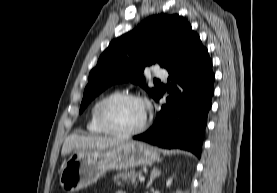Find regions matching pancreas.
<instances>
[{
	"label": "pancreas",
	"mask_w": 277,
	"mask_h": 193,
	"mask_svg": "<svg viewBox=\"0 0 277 193\" xmlns=\"http://www.w3.org/2000/svg\"><path fill=\"white\" fill-rule=\"evenodd\" d=\"M142 176V172L138 171H128V172H120L117 173L113 180L118 186H122L125 182L127 184L137 185V178Z\"/></svg>",
	"instance_id": "pancreas-1"
}]
</instances>
